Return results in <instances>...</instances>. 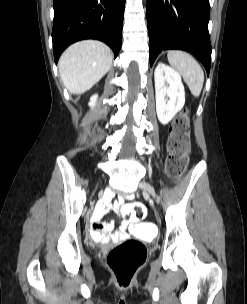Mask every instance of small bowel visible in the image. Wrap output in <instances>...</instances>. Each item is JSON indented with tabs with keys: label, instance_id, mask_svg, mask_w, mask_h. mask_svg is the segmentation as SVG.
<instances>
[{
	"label": "small bowel",
	"instance_id": "small-bowel-1",
	"mask_svg": "<svg viewBox=\"0 0 247 304\" xmlns=\"http://www.w3.org/2000/svg\"><path fill=\"white\" fill-rule=\"evenodd\" d=\"M109 203L110 195L106 194L104 201L98 204L92 217L89 236L94 242L106 243L110 241H116L123 238L126 235L127 230L131 228L130 222L128 220H123L119 230H117L113 235L107 233L113 228V222H101L100 219L107 212ZM116 208L117 206H115V209Z\"/></svg>",
	"mask_w": 247,
	"mask_h": 304
}]
</instances>
